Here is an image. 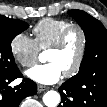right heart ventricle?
<instances>
[{
  "label": "right heart ventricle",
  "instance_id": "1",
  "mask_svg": "<svg viewBox=\"0 0 107 107\" xmlns=\"http://www.w3.org/2000/svg\"><path fill=\"white\" fill-rule=\"evenodd\" d=\"M72 24L67 19H42L33 28L34 40L39 48L50 47L61 32Z\"/></svg>",
  "mask_w": 107,
  "mask_h": 107
}]
</instances>
